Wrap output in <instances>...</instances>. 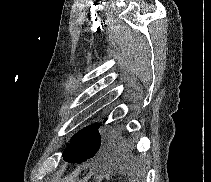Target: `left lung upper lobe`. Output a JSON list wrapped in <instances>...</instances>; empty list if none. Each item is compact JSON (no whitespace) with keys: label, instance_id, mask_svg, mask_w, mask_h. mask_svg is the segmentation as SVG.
Returning <instances> with one entry per match:
<instances>
[{"label":"left lung upper lobe","instance_id":"5c2ea615","mask_svg":"<svg viewBox=\"0 0 211 182\" xmlns=\"http://www.w3.org/2000/svg\"><path fill=\"white\" fill-rule=\"evenodd\" d=\"M98 128L99 124L96 123L74 134L63 153V159L81 163L92 158L105 144V140H101Z\"/></svg>","mask_w":211,"mask_h":182}]
</instances>
